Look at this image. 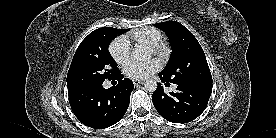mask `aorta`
<instances>
[{"label":"aorta","mask_w":276,"mask_h":138,"mask_svg":"<svg viewBox=\"0 0 276 138\" xmlns=\"http://www.w3.org/2000/svg\"><path fill=\"white\" fill-rule=\"evenodd\" d=\"M131 56L136 60H144L150 56L149 52H145L142 49H134ZM144 88L148 92H155L157 89V82L153 79L146 80L144 83Z\"/></svg>","instance_id":"1"}]
</instances>
